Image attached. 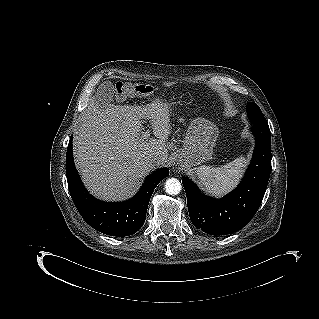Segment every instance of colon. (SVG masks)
Instances as JSON below:
<instances>
[{"label": "colon", "instance_id": "colon-1", "mask_svg": "<svg viewBox=\"0 0 319 319\" xmlns=\"http://www.w3.org/2000/svg\"><path fill=\"white\" fill-rule=\"evenodd\" d=\"M153 91L151 85L144 83L119 82L116 84V93L120 100L134 95L149 96Z\"/></svg>", "mask_w": 319, "mask_h": 319}]
</instances>
